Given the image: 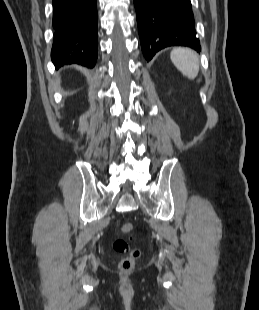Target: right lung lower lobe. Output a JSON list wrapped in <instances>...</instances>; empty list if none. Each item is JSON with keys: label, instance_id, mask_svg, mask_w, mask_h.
Segmentation results:
<instances>
[{"label": "right lung lower lobe", "instance_id": "obj_1", "mask_svg": "<svg viewBox=\"0 0 259 310\" xmlns=\"http://www.w3.org/2000/svg\"><path fill=\"white\" fill-rule=\"evenodd\" d=\"M53 30L51 59L56 67L73 63L95 66L96 0H53Z\"/></svg>", "mask_w": 259, "mask_h": 310}]
</instances>
